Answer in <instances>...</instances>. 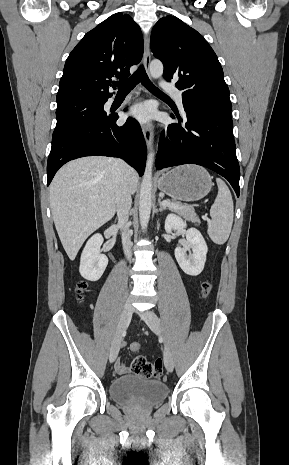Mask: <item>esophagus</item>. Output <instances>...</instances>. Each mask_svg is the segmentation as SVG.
Wrapping results in <instances>:
<instances>
[{"instance_id": "obj_1", "label": "esophagus", "mask_w": 289, "mask_h": 465, "mask_svg": "<svg viewBox=\"0 0 289 465\" xmlns=\"http://www.w3.org/2000/svg\"><path fill=\"white\" fill-rule=\"evenodd\" d=\"M144 67L146 71H149L151 55H150V43L149 38L146 36L144 39V57H143ZM144 139L148 148H151L153 143V130L150 124L143 125L142 127Z\"/></svg>"}]
</instances>
